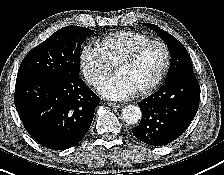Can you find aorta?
<instances>
[{
	"instance_id": "aorta-1",
	"label": "aorta",
	"mask_w": 224,
	"mask_h": 175,
	"mask_svg": "<svg viewBox=\"0 0 224 175\" xmlns=\"http://www.w3.org/2000/svg\"><path fill=\"white\" fill-rule=\"evenodd\" d=\"M142 117L141 110L138 106L127 105L122 110V118L128 124H136Z\"/></svg>"
}]
</instances>
